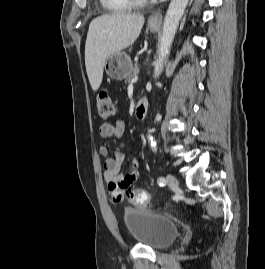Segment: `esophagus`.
Masks as SVG:
<instances>
[{"mask_svg":"<svg viewBox=\"0 0 265 269\" xmlns=\"http://www.w3.org/2000/svg\"><path fill=\"white\" fill-rule=\"evenodd\" d=\"M161 20L160 14H154L149 17V22L151 23H158Z\"/></svg>","mask_w":265,"mask_h":269,"instance_id":"1","label":"esophagus"}]
</instances>
